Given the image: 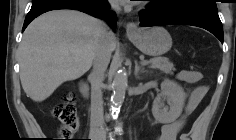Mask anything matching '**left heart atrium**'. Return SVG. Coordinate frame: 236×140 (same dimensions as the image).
<instances>
[{"instance_id": "obj_1", "label": "left heart atrium", "mask_w": 236, "mask_h": 140, "mask_svg": "<svg viewBox=\"0 0 236 140\" xmlns=\"http://www.w3.org/2000/svg\"><path fill=\"white\" fill-rule=\"evenodd\" d=\"M120 1H121V2H124V3L127 2V0H120Z\"/></svg>"}]
</instances>
